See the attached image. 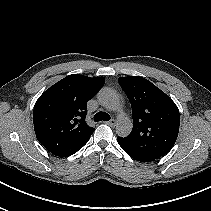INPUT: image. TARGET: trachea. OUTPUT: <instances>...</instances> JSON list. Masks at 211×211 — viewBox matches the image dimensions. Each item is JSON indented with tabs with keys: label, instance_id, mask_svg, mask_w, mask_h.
<instances>
[{
	"label": "trachea",
	"instance_id": "obj_1",
	"mask_svg": "<svg viewBox=\"0 0 211 211\" xmlns=\"http://www.w3.org/2000/svg\"><path fill=\"white\" fill-rule=\"evenodd\" d=\"M110 115L109 114H107V113H105V112H98V113H96L95 114V116H94V120H95V122H99V121H109L110 120Z\"/></svg>",
	"mask_w": 211,
	"mask_h": 211
}]
</instances>
